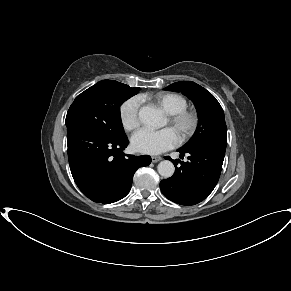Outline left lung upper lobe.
Instances as JSON below:
<instances>
[{"mask_svg":"<svg viewBox=\"0 0 291 291\" xmlns=\"http://www.w3.org/2000/svg\"><path fill=\"white\" fill-rule=\"evenodd\" d=\"M165 89L182 92L193 101L198 112L199 121L195 134L183 147L197 144H227L224 112L210 92L192 81L176 82Z\"/></svg>","mask_w":291,"mask_h":291,"instance_id":"5c2ea615","label":"left lung upper lobe"}]
</instances>
